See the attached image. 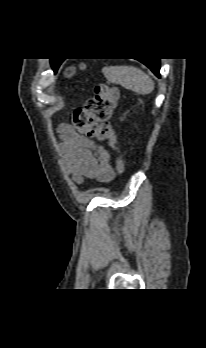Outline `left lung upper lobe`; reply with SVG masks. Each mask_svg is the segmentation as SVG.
<instances>
[{"label": "left lung upper lobe", "mask_w": 206, "mask_h": 348, "mask_svg": "<svg viewBox=\"0 0 206 348\" xmlns=\"http://www.w3.org/2000/svg\"><path fill=\"white\" fill-rule=\"evenodd\" d=\"M61 63H62L61 60L51 59V66H52L54 72L57 71V69H58V67L60 66Z\"/></svg>", "instance_id": "obj_1"}]
</instances>
